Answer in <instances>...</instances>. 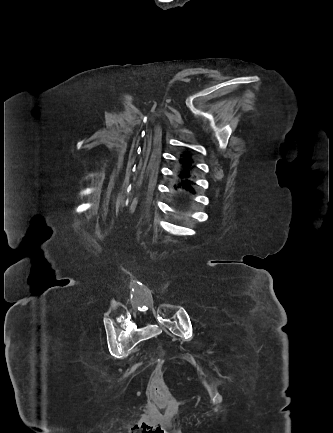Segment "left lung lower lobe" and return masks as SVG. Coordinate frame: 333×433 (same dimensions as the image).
I'll use <instances>...</instances> for the list:
<instances>
[{
  "instance_id": "obj_1",
  "label": "left lung lower lobe",
  "mask_w": 333,
  "mask_h": 433,
  "mask_svg": "<svg viewBox=\"0 0 333 433\" xmlns=\"http://www.w3.org/2000/svg\"><path fill=\"white\" fill-rule=\"evenodd\" d=\"M179 162L182 166L181 171L179 172V177L182 179H185L183 182H181L182 185L186 183V185L190 184V181L188 178L192 177V170H193V160L191 159L190 152L185 151L179 158Z\"/></svg>"
}]
</instances>
